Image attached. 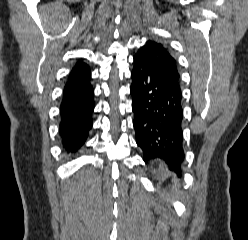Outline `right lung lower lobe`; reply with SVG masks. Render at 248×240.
<instances>
[{"mask_svg":"<svg viewBox=\"0 0 248 240\" xmlns=\"http://www.w3.org/2000/svg\"><path fill=\"white\" fill-rule=\"evenodd\" d=\"M90 77L89 69L70 76L63 90L59 134L69 152H76L85 143L92 128L94 90Z\"/></svg>","mask_w":248,"mask_h":240,"instance_id":"obj_1","label":"right lung lower lobe"}]
</instances>
